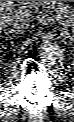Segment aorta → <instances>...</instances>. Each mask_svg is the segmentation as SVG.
<instances>
[{
    "label": "aorta",
    "mask_w": 74,
    "mask_h": 122,
    "mask_svg": "<svg viewBox=\"0 0 74 122\" xmlns=\"http://www.w3.org/2000/svg\"><path fill=\"white\" fill-rule=\"evenodd\" d=\"M38 54L42 62L50 65L56 64L63 57L60 47L56 43L51 41L41 42V44L39 45Z\"/></svg>",
    "instance_id": "obj_1"
}]
</instances>
